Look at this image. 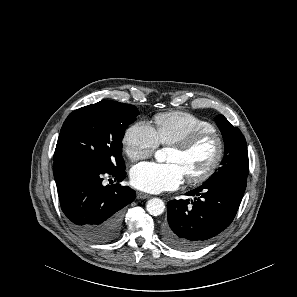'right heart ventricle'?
<instances>
[{
  "mask_svg": "<svg viewBox=\"0 0 297 297\" xmlns=\"http://www.w3.org/2000/svg\"><path fill=\"white\" fill-rule=\"evenodd\" d=\"M154 123L159 144L166 146L199 131L215 130L210 122L181 111L159 113Z\"/></svg>",
  "mask_w": 297,
  "mask_h": 297,
  "instance_id": "right-heart-ventricle-1",
  "label": "right heart ventricle"
}]
</instances>
